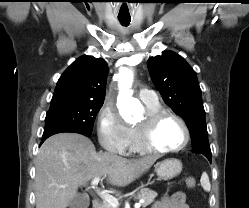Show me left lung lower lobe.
Masks as SVG:
<instances>
[{"instance_id": "1", "label": "left lung lower lobe", "mask_w": 249, "mask_h": 208, "mask_svg": "<svg viewBox=\"0 0 249 208\" xmlns=\"http://www.w3.org/2000/svg\"><path fill=\"white\" fill-rule=\"evenodd\" d=\"M192 151H193V152H196V153H201V154H203V155L206 156L207 159L211 162V158H212L211 153L202 152V151H195V150H192Z\"/></svg>"}]
</instances>
